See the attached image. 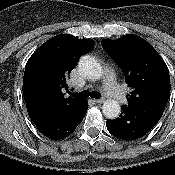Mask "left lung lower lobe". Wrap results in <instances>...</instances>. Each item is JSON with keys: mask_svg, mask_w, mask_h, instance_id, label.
<instances>
[{"mask_svg": "<svg viewBox=\"0 0 175 175\" xmlns=\"http://www.w3.org/2000/svg\"><path fill=\"white\" fill-rule=\"evenodd\" d=\"M165 107L146 105L134 109H124L119 117L107 120V129L115 137L132 140L149 132L160 120Z\"/></svg>", "mask_w": 175, "mask_h": 175, "instance_id": "0a47b994", "label": "left lung lower lobe"}]
</instances>
